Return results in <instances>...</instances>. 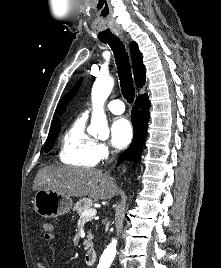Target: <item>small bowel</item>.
Masks as SVG:
<instances>
[{
	"mask_svg": "<svg viewBox=\"0 0 221 268\" xmlns=\"http://www.w3.org/2000/svg\"><path fill=\"white\" fill-rule=\"evenodd\" d=\"M56 238L55 234L53 233V228L49 232H45L44 234V240L46 242H52ZM45 256V250L43 248H39L37 251V258H38V263H37V268H47V265L43 261Z\"/></svg>",
	"mask_w": 221,
	"mask_h": 268,
	"instance_id": "obj_1",
	"label": "small bowel"
}]
</instances>
